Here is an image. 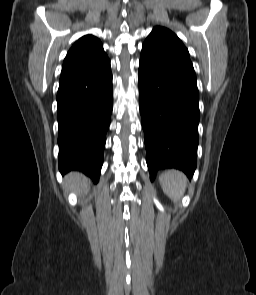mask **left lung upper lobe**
Here are the masks:
<instances>
[{
  "mask_svg": "<svg viewBox=\"0 0 256 295\" xmlns=\"http://www.w3.org/2000/svg\"><path fill=\"white\" fill-rule=\"evenodd\" d=\"M140 64L174 81L197 88L189 52L170 30L157 26L143 43Z\"/></svg>",
  "mask_w": 256,
  "mask_h": 295,
  "instance_id": "1",
  "label": "left lung upper lobe"
}]
</instances>
